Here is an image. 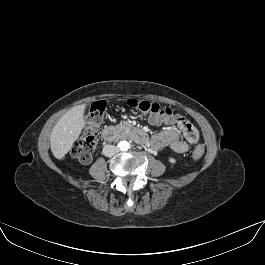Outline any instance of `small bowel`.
<instances>
[{
  "label": "small bowel",
  "mask_w": 265,
  "mask_h": 265,
  "mask_svg": "<svg viewBox=\"0 0 265 265\" xmlns=\"http://www.w3.org/2000/svg\"><path fill=\"white\" fill-rule=\"evenodd\" d=\"M148 121L155 125H164L166 129L156 134L151 139L155 150L169 147L177 153L188 152L192 147H201L197 129L183 116L158 118L148 117Z\"/></svg>",
  "instance_id": "small-bowel-1"
}]
</instances>
